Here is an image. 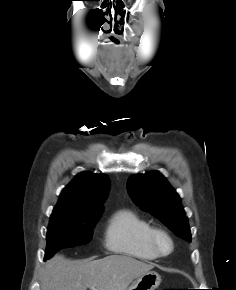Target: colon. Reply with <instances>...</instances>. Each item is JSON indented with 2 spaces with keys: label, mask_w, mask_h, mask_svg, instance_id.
<instances>
[{
  "label": "colon",
  "mask_w": 236,
  "mask_h": 290,
  "mask_svg": "<svg viewBox=\"0 0 236 290\" xmlns=\"http://www.w3.org/2000/svg\"><path fill=\"white\" fill-rule=\"evenodd\" d=\"M164 290H177V289H164Z\"/></svg>",
  "instance_id": "colon-1"
}]
</instances>
